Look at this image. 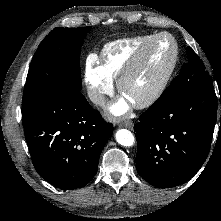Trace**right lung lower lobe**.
Returning <instances> with one entry per match:
<instances>
[{
	"mask_svg": "<svg viewBox=\"0 0 221 221\" xmlns=\"http://www.w3.org/2000/svg\"><path fill=\"white\" fill-rule=\"evenodd\" d=\"M22 117L33 165L48 183L73 190L95 176L113 126L80 90L49 92Z\"/></svg>",
	"mask_w": 221,
	"mask_h": 221,
	"instance_id": "98d812e1",
	"label": "right lung lower lobe"
}]
</instances>
